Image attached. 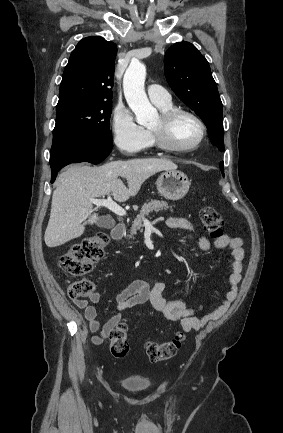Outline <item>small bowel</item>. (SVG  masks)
<instances>
[{
    "instance_id": "small-bowel-1",
    "label": "small bowel",
    "mask_w": 283,
    "mask_h": 433,
    "mask_svg": "<svg viewBox=\"0 0 283 433\" xmlns=\"http://www.w3.org/2000/svg\"><path fill=\"white\" fill-rule=\"evenodd\" d=\"M171 229L180 230L194 234L193 224L186 218L169 217L166 221ZM197 244L200 250L207 251L211 248L210 240L202 235L197 236ZM218 249L229 248L232 252V271L229 276V290L222 303L211 313L200 317L198 314L203 306L189 307L184 300H168L164 297L167 284L158 281L152 285L144 280H134L115 296L116 312L109 320L100 327L97 320V312L94 304L100 301L101 295L98 291H93L88 295V299H74L75 306L83 311V317L87 327L95 335L92 338L94 344L103 343L121 322L123 312L136 306L149 303L156 311L160 312L166 319L179 322L184 332L202 329L208 322L221 318L235 301L238 295L239 284L242 279L243 261L245 258L244 243L241 238L233 236H222L213 242ZM69 316L84 325V320L75 312H70Z\"/></svg>"
}]
</instances>
